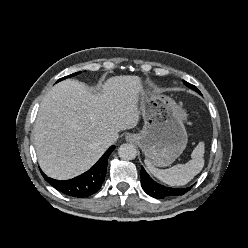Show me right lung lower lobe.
Returning <instances> with one entry per match:
<instances>
[{"instance_id":"1","label":"right lung lower lobe","mask_w":248,"mask_h":248,"mask_svg":"<svg viewBox=\"0 0 248 248\" xmlns=\"http://www.w3.org/2000/svg\"><path fill=\"white\" fill-rule=\"evenodd\" d=\"M114 149L115 146H111L91 169L70 180L59 181L47 177L42 171L41 173L48 183L66 195L73 197L90 196L100 189L105 179L108 157Z\"/></svg>"}]
</instances>
